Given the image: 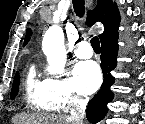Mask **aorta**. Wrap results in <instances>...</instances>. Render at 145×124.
<instances>
[{
	"label": "aorta",
	"instance_id": "aorta-1",
	"mask_svg": "<svg viewBox=\"0 0 145 124\" xmlns=\"http://www.w3.org/2000/svg\"><path fill=\"white\" fill-rule=\"evenodd\" d=\"M42 49L48 61V74L64 75L67 54L64 47V32L59 25L54 24L46 31Z\"/></svg>",
	"mask_w": 145,
	"mask_h": 124
}]
</instances>
